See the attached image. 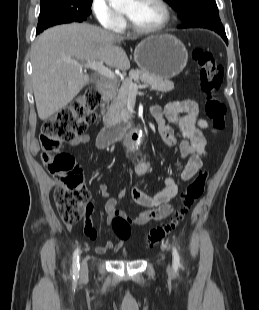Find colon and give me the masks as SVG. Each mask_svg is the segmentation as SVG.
Wrapping results in <instances>:
<instances>
[{
  "mask_svg": "<svg viewBox=\"0 0 259 310\" xmlns=\"http://www.w3.org/2000/svg\"><path fill=\"white\" fill-rule=\"evenodd\" d=\"M196 63L201 89L205 94V113L216 132L225 128L226 106L217 97L220 89L223 68L214 54L208 49L195 47L192 51ZM100 94L93 88L86 89L68 106L42 126L40 141L43 148V161L48 171L62 183L56 190L55 202L58 213L66 225H73L83 219L92 209L91 195L84 185L83 174L74 157L61 150L63 143L83 135L87 128L96 122V108ZM209 177L208 171H200L180 196V208L165 223L153 227L146 235V244L154 246L174 231L184 219L189 208L203 193ZM114 233L127 240L131 235L130 223L120 215L111 220Z\"/></svg>",
  "mask_w": 259,
  "mask_h": 310,
  "instance_id": "5ec220e1",
  "label": "colon"
}]
</instances>
